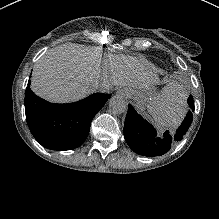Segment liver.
<instances>
[{
  "mask_svg": "<svg viewBox=\"0 0 219 219\" xmlns=\"http://www.w3.org/2000/svg\"><path fill=\"white\" fill-rule=\"evenodd\" d=\"M101 60L97 52L83 45H73L53 52L36 65L33 84L44 96L77 99L94 90V82L105 79L117 87H129L126 79L101 75ZM101 73V74H100Z\"/></svg>",
  "mask_w": 219,
  "mask_h": 219,
  "instance_id": "6515ba94",
  "label": "liver"
}]
</instances>
